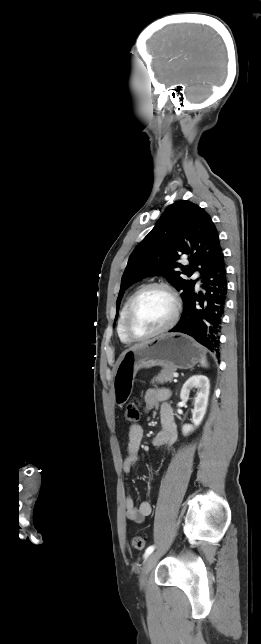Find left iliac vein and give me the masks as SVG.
I'll list each match as a JSON object with an SVG mask.
<instances>
[{"mask_svg": "<svg viewBox=\"0 0 261 644\" xmlns=\"http://www.w3.org/2000/svg\"><path fill=\"white\" fill-rule=\"evenodd\" d=\"M159 558V554L157 552L151 553L145 560L142 572H141V577H140V584L141 586H144L147 580V577L150 573V571L155 567L157 561Z\"/></svg>", "mask_w": 261, "mask_h": 644, "instance_id": "obj_1", "label": "left iliac vein"}]
</instances>
